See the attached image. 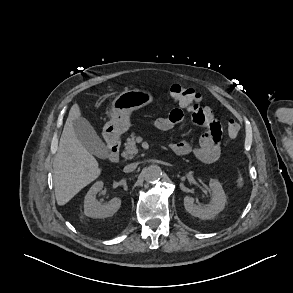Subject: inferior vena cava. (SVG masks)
<instances>
[{
	"label": "inferior vena cava",
	"mask_w": 293,
	"mask_h": 293,
	"mask_svg": "<svg viewBox=\"0 0 293 293\" xmlns=\"http://www.w3.org/2000/svg\"><path fill=\"white\" fill-rule=\"evenodd\" d=\"M137 167V163H131V164H128L124 167L123 171L125 173H129V172H132L136 169Z\"/></svg>",
	"instance_id": "602c4592"
}]
</instances>
